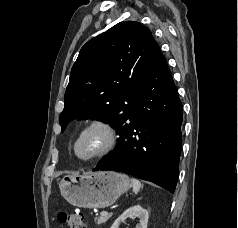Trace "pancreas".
<instances>
[{
    "mask_svg": "<svg viewBox=\"0 0 238 228\" xmlns=\"http://www.w3.org/2000/svg\"><path fill=\"white\" fill-rule=\"evenodd\" d=\"M110 218H111V214H107L105 216L101 215L98 218H95V222L97 223V225H101L106 223Z\"/></svg>",
    "mask_w": 238,
    "mask_h": 228,
    "instance_id": "obj_1",
    "label": "pancreas"
}]
</instances>
